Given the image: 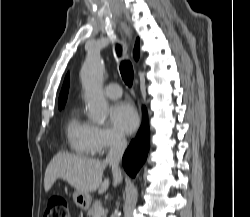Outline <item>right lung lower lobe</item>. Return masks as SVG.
<instances>
[{
    "instance_id": "1",
    "label": "right lung lower lobe",
    "mask_w": 250,
    "mask_h": 217,
    "mask_svg": "<svg viewBox=\"0 0 250 217\" xmlns=\"http://www.w3.org/2000/svg\"><path fill=\"white\" fill-rule=\"evenodd\" d=\"M143 123L139 129L136 137L130 143L123 156V166L126 172L135 177L140 167L145 163L148 150H149V139H150V130L148 123V115L146 108L143 107Z\"/></svg>"
}]
</instances>
